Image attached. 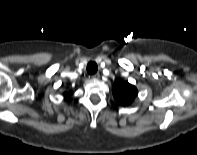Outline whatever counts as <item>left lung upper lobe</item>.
Returning <instances> with one entry per match:
<instances>
[{"mask_svg": "<svg viewBox=\"0 0 197 155\" xmlns=\"http://www.w3.org/2000/svg\"><path fill=\"white\" fill-rule=\"evenodd\" d=\"M137 94V88L128 82L118 80L113 85L114 98L122 106L131 104Z\"/></svg>", "mask_w": 197, "mask_h": 155, "instance_id": "1", "label": "left lung upper lobe"}]
</instances>
